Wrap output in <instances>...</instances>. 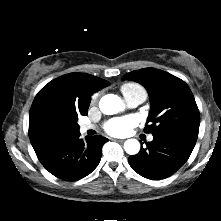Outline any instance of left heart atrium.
<instances>
[{
	"mask_svg": "<svg viewBox=\"0 0 221 221\" xmlns=\"http://www.w3.org/2000/svg\"><path fill=\"white\" fill-rule=\"evenodd\" d=\"M137 120L133 116L119 117L109 120L104 128L105 131L113 136H125L136 125Z\"/></svg>",
	"mask_w": 221,
	"mask_h": 221,
	"instance_id": "39dd6f15",
	"label": "left heart atrium"
}]
</instances>
